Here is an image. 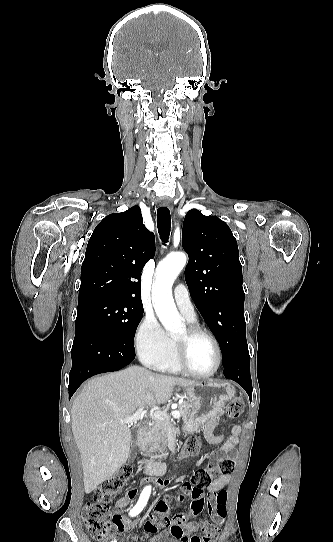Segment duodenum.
<instances>
[{"label":"duodenum","mask_w":333,"mask_h":542,"mask_svg":"<svg viewBox=\"0 0 333 542\" xmlns=\"http://www.w3.org/2000/svg\"><path fill=\"white\" fill-rule=\"evenodd\" d=\"M145 441V431H141L138 435V444L142 446L145 444ZM141 467L145 473L151 476H162L167 470V466L163 462H144Z\"/></svg>","instance_id":"1"}]
</instances>
